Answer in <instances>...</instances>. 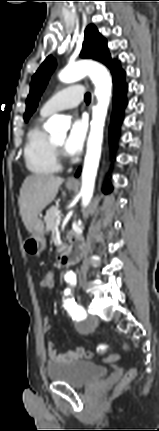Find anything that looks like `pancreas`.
Instances as JSON below:
<instances>
[{
  "label": "pancreas",
  "instance_id": "cf45deb5",
  "mask_svg": "<svg viewBox=\"0 0 159 431\" xmlns=\"http://www.w3.org/2000/svg\"><path fill=\"white\" fill-rule=\"evenodd\" d=\"M58 216H59L58 209L55 206L50 207L46 211V216L44 218V221L46 223V232H50L54 230L55 222Z\"/></svg>",
  "mask_w": 159,
  "mask_h": 431
}]
</instances>
